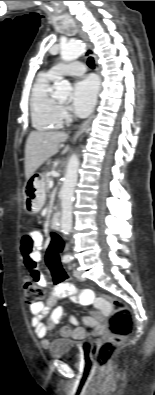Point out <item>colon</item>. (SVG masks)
I'll return each instance as SVG.
<instances>
[{"label":"colon","instance_id":"1","mask_svg":"<svg viewBox=\"0 0 155 395\" xmlns=\"http://www.w3.org/2000/svg\"><path fill=\"white\" fill-rule=\"evenodd\" d=\"M51 244H47L45 255L43 257L46 262L49 277L54 279V288H63L64 283H73L71 280V272H63L64 266L61 265L60 252L64 250L67 244L66 238H61V234H50ZM24 296L28 304L40 302L44 295V288L38 283L36 278L29 275L25 278ZM113 304L112 314L109 315L110 337L100 341L95 349L94 355L98 366L102 369L107 368L118 347L123 340L130 334L133 324V315L130 309L120 300L105 297Z\"/></svg>","mask_w":155,"mask_h":395}]
</instances>
